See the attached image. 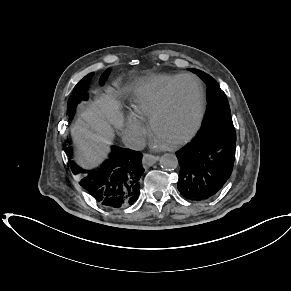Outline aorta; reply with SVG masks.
Returning a JSON list of instances; mask_svg holds the SVG:
<instances>
[{"mask_svg": "<svg viewBox=\"0 0 291 291\" xmlns=\"http://www.w3.org/2000/svg\"><path fill=\"white\" fill-rule=\"evenodd\" d=\"M160 165L164 170H173L178 166V159L173 153H166L160 158Z\"/></svg>", "mask_w": 291, "mask_h": 291, "instance_id": "aorta-1", "label": "aorta"}]
</instances>
